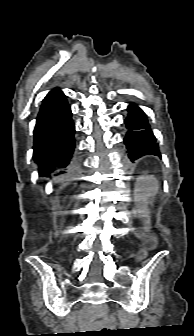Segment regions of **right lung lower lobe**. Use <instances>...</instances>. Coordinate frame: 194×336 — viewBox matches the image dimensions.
<instances>
[{
    "label": "right lung lower lobe",
    "instance_id": "obj_1",
    "mask_svg": "<svg viewBox=\"0 0 194 336\" xmlns=\"http://www.w3.org/2000/svg\"><path fill=\"white\" fill-rule=\"evenodd\" d=\"M71 115L66 97L59 89L52 90L44 98L37 116L33 145V158L41 176L65 168L72 160L75 128Z\"/></svg>",
    "mask_w": 194,
    "mask_h": 336
}]
</instances>
